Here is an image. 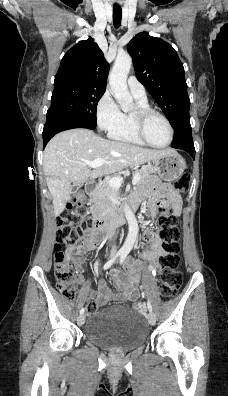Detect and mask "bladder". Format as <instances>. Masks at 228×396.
I'll return each instance as SVG.
<instances>
[{
	"instance_id": "obj_1",
	"label": "bladder",
	"mask_w": 228,
	"mask_h": 396,
	"mask_svg": "<svg viewBox=\"0 0 228 396\" xmlns=\"http://www.w3.org/2000/svg\"><path fill=\"white\" fill-rule=\"evenodd\" d=\"M84 337L102 348L127 351L147 340L148 329L138 312L109 308L90 316Z\"/></svg>"
}]
</instances>
